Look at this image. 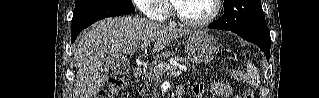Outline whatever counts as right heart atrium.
<instances>
[{"instance_id":"obj_1","label":"right heart atrium","mask_w":319,"mask_h":98,"mask_svg":"<svg viewBox=\"0 0 319 98\" xmlns=\"http://www.w3.org/2000/svg\"><path fill=\"white\" fill-rule=\"evenodd\" d=\"M136 6L151 19L161 20L166 17L168 9L163 0H135Z\"/></svg>"}]
</instances>
